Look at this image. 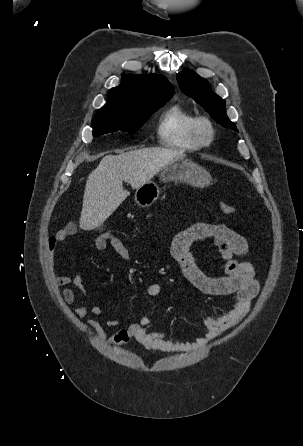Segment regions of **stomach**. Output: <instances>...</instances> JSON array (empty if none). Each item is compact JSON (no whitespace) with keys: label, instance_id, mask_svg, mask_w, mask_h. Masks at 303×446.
Returning <instances> with one entry per match:
<instances>
[{"label":"stomach","instance_id":"obj_1","mask_svg":"<svg viewBox=\"0 0 303 446\" xmlns=\"http://www.w3.org/2000/svg\"><path fill=\"white\" fill-rule=\"evenodd\" d=\"M159 177L162 182L178 181L199 188L207 187L211 181L208 171L185 157H180L163 167ZM159 194L156 183L149 181L136 189L135 202L140 207H149L158 199Z\"/></svg>","mask_w":303,"mask_h":446}]
</instances>
